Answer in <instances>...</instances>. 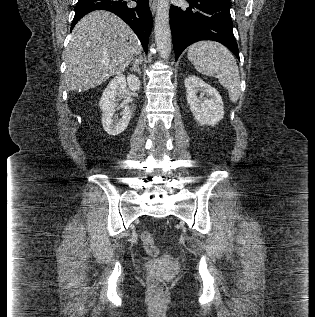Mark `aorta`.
Masks as SVG:
<instances>
[{"mask_svg": "<svg viewBox=\"0 0 315 317\" xmlns=\"http://www.w3.org/2000/svg\"><path fill=\"white\" fill-rule=\"evenodd\" d=\"M169 10L168 0H158L154 32L157 50L163 59H168L171 53Z\"/></svg>", "mask_w": 315, "mask_h": 317, "instance_id": "1", "label": "aorta"}]
</instances>
